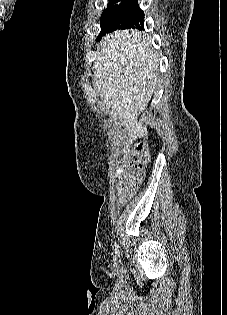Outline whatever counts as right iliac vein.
I'll use <instances>...</instances> for the list:
<instances>
[{
    "label": "right iliac vein",
    "mask_w": 227,
    "mask_h": 315,
    "mask_svg": "<svg viewBox=\"0 0 227 315\" xmlns=\"http://www.w3.org/2000/svg\"><path fill=\"white\" fill-rule=\"evenodd\" d=\"M119 264V260L115 257L114 258V266L117 267Z\"/></svg>",
    "instance_id": "right-iliac-vein-1"
}]
</instances>
